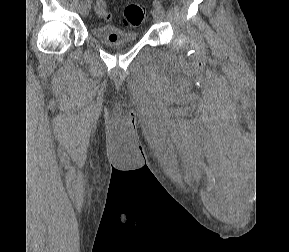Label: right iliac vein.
<instances>
[{"mask_svg":"<svg viewBox=\"0 0 289 252\" xmlns=\"http://www.w3.org/2000/svg\"><path fill=\"white\" fill-rule=\"evenodd\" d=\"M90 5L86 2H80L79 12L82 16L86 17L89 14Z\"/></svg>","mask_w":289,"mask_h":252,"instance_id":"right-iliac-vein-1","label":"right iliac vein"}]
</instances>
